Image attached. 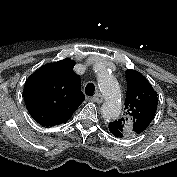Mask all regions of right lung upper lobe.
<instances>
[{"mask_svg": "<svg viewBox=\"0 0 177 177\" xmlns=\"http://www.w3.org/2000/svg\"><path fill=\"white\" fill-rule=\"evenodd\" d=\"M75 61L64 59L40 67L25 82L24 100L32 118L42 126L66 123L85 99Z\"/></svg>", "mask_w": 177, "mask_h": 177, "instance_id": "obj_1", "label": "right lung upper lobe"}]
</instances>
